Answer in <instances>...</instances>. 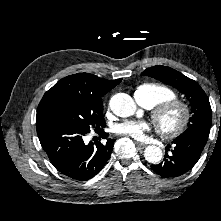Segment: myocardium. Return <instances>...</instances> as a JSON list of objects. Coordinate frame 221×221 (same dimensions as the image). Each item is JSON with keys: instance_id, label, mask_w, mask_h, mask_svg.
<instances>
[{"instance_id": "f54148a6", "label": "myocardium", "mask_w": 221, "mask_h": 221, "mask_svg": "<svg viewBox=\"0 0 221 221\" xmlns=\"http://www.w3.org/2000/svg\"><path fill=\"white\" fill-rule=\"evenodd\" d=\"M170 111H175L178 117L173 125L167 127L162 120L164 115ZM190 116L189 106L179 99H171L159 103L152 110V118L156 129L160 136L166 139H174L181 135L188 126Z\"/></svg>"}]
</instances>
